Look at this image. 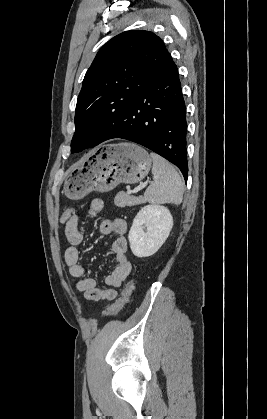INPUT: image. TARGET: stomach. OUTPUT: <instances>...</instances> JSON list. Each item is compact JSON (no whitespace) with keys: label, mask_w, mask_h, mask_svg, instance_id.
<instances>
[{"label":"stomach","mask_w":267,"mask_h":419,"mask_svg":"<svg viewBox=\"0 0 267 419\" xmlns=\"http://www.w3.org/2000/svg\"><path fill=\"white\" fill-rule=\"evenodd\" d=\"M151 163L148 152L137 144H104L72 168L63 193L70 199H81L91 191L108 192L120 183H138L148 174Z\"/></svg>","instance_id":"1"}]
</instances>
